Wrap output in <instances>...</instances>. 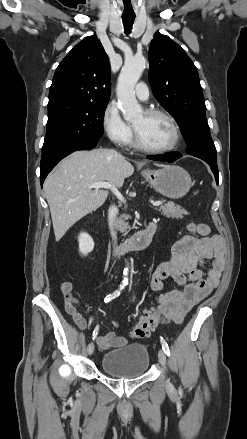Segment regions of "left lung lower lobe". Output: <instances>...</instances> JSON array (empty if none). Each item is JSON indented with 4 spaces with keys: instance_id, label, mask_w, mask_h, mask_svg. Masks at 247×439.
I'll use <instances>...</instances> for the list:
<instances>
[{
    "instance_id": "obj_1",
    "label": "left lung lower lobe",
    "mask_w": 247,
    "mask_h": 439,
    "mask_svg": "<svg viewBox=\"0 0 247 439\" xmlns=\"http://www.w3.org/2000/svg\"><path fill=\"white\" fill-rule=\"evenodd\" d=\"M182 155L178 152H172V153H165V154H161V155H154V156H148V159L151 160H156V161H165V162H173L177 159H179ZM213 173L215 175V179L216 182L218 184V177H219V173L218 170H213Z\"/></svg>"
}]
</instances>
